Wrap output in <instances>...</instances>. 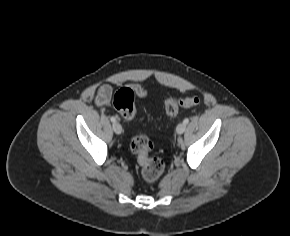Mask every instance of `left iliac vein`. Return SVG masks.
Instances as JSON below:
<instances>
[{
	"label": "left iliac vein",
	"instance_id": "obj_1",
	"mask_svg": "<svg viewBox=\"0 0 290 236\" xmlns=\"http://www.w3.org/2000/svg\"><path fill=\"white\" fill-rule=\"evenodd\" d=\"M185 129H186V124H184V123H179V124L177 125V127H176V132H177L178 134H182V133L185 131Z\"/></svg>",
	"mask_w": 290,
	"mask_h": 236
}]
</instances>
